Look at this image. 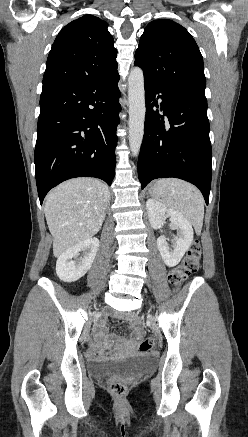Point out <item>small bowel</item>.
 <instances>
[{"label":"small bowel","instance_id":"obj_1","mask_svg":"<svg viewBox=\"0 0 248 437\" xmlns=\"http://www.w3.org/2000/svg\"><path fill=\"white\" fill-rule=\"evenodd\" d=\"M140 336L141 330L136 327L127 340H117L114 336L106 333L104 328H101L98 334V340L90 349V355L93 357H102L114 352L133 351L136 348Z\"/></svg>","mask_w":248,"mask_h":437}]
</instances>
